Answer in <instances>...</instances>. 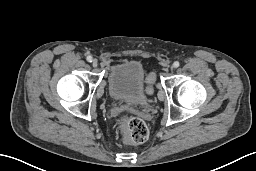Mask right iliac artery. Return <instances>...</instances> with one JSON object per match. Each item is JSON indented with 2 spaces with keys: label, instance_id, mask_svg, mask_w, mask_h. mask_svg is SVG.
<instances>
[{
  "label": "right iliac artery",
  "instance_id": "right-iliac-artery-1",
  "mask_svg": "<svg viewBox=\"0 0 256 171\" xmlns=\"http://www.w3.org/2000/svg\"><path fill=\"white\" fill-rule=\"evenodd\" d=\"M86 59H87L88 62H92V57L91 56H87Z\"/></svg>",
  "mask_w": 256,
  "mask_h": 171
}]
</instances>
